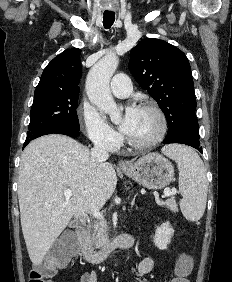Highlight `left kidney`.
Returning <instances> with one entry per match:
<instances>
[{"mask_svg":"<svg viewBox=\"0 0 232 282\" xmlns=\"http://www.w3.org/2000/svg\"><path fill=\"white\" fill-rule=\"evenodd\" d=\"M173 234L174 230L170 223L166 222L158 226L155 231V236L153 237L155 245L160 250L167 249V245L170 244Z\"/></svg>","mask_w":232,"mask_h":282,"instance_id":"obj_1","label":"left kidney"}]
</instances>
